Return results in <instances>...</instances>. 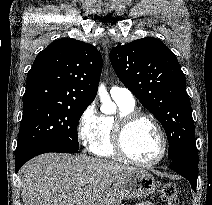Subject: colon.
Instances as JSON below:
<instances>
[{
    "mask_svg": "<svg viewBox=\"0 0 212 205\" xmlns=\"http://www.w3.org/2000/svg\"><path fill=\"white\" fill-rule=\"evenodd\" d=\"M160 199L166 205H179L178 190L175 184L165 183L160 189Z\"/></svg>",
    "mask_w": 212,
    "mask_h": 205,
    "instance_id": "1",
    "label": "colon"
}]
</instances>
